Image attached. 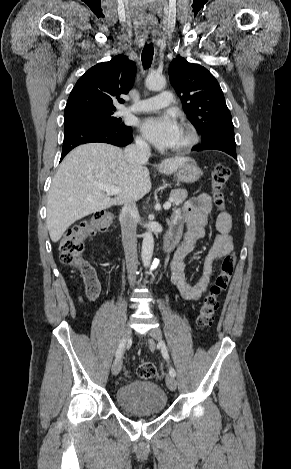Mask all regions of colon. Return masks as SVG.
I'll return each mask as SVG.
<instances>
[{"label":"colon","instance_id":"5ec220e1","mask_svg":"<svg viewBox=\"0 0 291 469\" xmlns=\"http://www.w3.org/2000/svg\"><path fill=\"white\" fill-rule=\"evenodd\" d=\"M230 175V168L222 163L216 164L212 170L211 192L214 203L219 210L224 209L223 188ZM111 219L110 212L101 211L95 213L88 221H83L68 229L59 244L61 262L78 269L84 279L92 278L93 270L82 258L84 240L104 230L110 224ZM235 265L236 254L230 252L223 258L220 270L202 301L197 317L198 326L205 328L213 324L219 306V296L227 289ZM86 294L89 300H95L99 292L95 287H90L86 288ZM155 373L156 368L151 362H144L137 368V375L141 379H150L154 377Z\"/></svg>","mask_w":291,"mask_h":469}]
</instances>
